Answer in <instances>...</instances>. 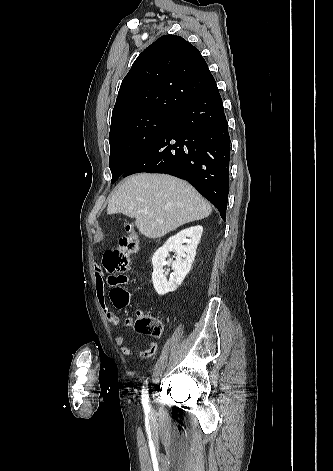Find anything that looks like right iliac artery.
<instances>
[{"mask_svg":"<svg viewBox=\"0 0 333 471\" xmlns=\"http://www.w3.org/2000/svg\"><path fill=\"white\" fill-rule=\"evenodd\" d=\"M149 396H148V382L145 381L143 387H142V404H143V407H144V410L146 413H148L150 411V407H149Z\"/></svg>","mask_w":333,"mask_h":471,"instance_id":"1","label":"right iliac artery"}]
</instances>
